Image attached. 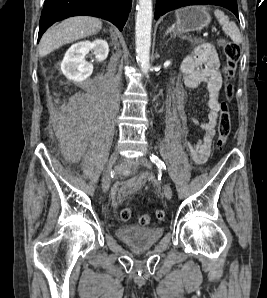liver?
<instances>
[{"label":"liver","mask_w":267,"mask_h":298,"mask_svg":"<svg viewBox=\"0 0 267 298\" xmlns=\"http://www.w3.org/2000/svg\"><path fill=\"white\" fill-rule=\"evenodd\" d=\"M102 22L94 17L77 16L49 28L39 43V55L45 57L59 47L97 34Z\"/></svg>","instance_id":"liver-1"}]
</instances>
